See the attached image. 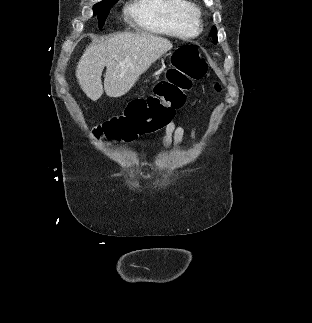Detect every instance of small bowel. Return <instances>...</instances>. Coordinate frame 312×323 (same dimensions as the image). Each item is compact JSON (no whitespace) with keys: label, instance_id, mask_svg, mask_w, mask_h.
Masks as SVG:
<instances>
[{"label":"small bowel","instance_id":"small-bowel-1","mask_svg":"<svg viewBox=\"0 0 312 323\" xmlns=\"http://www.w3.org/2000/svg\"><path fill=\"white\" fill-rule=\"evenodd\" d=\"M184 136L185 128L172 120L165 128V136L162 139V144L165 148L174 147L175 149L180 150ZM190 136L192 142L197 144L198 131L195 126H191Z\"/></svg>","mask_w":312,"mask_h":323}]
</instances>
